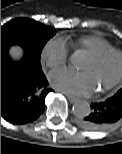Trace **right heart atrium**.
<instances>
[{
	"label": "right heart atrium",
	"mask_w": 122,
	"mask_h": 154,
	"mask_svg": "<svg viewBox=\"0 0 122 154\" xmlns=\"http://www.w3.org/2000/svg\"><path fill=\"white\" fill-rule=\"evenodd\" d=\"M69 47L67 43L58 37L50 39L44 46L41 58L50 69L62 67L68 60Z\"/></svg>",
	"instance_id": "right-heart-atrium-1"
}]
</instances>
